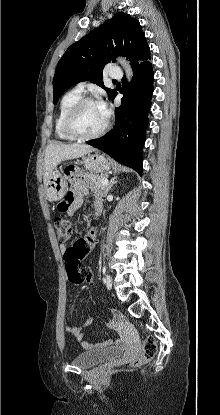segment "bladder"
<instances>
[{
	"label": "bladder",
	"instance_id": "31cf9c89",
	"mask_svg": "<svg viewBox=\"0 0 220 415\" xmlns=\"http://www.w3.org/2000/svg\"><path fill=\"white\" fill-rule=\"evenodd\" d=\"M124 353L123 347H109L104 349H93L79 353L72 364L82 369L92 368L107 361L120 358Z\"/></svg>",
	"mask_w": 220,
	"mask_h": 415
}]
</instances>
